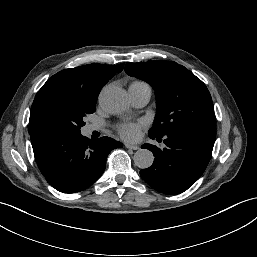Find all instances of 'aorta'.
Instances as JSON below:
<instances>
[{"label":"aorta","instance_id":"1","mask_svg":"<svg viewBox=\"0 0 257 257\" xmlns=\"http://www.w3.org/2000/svg\"><path fill=\"white\" fill-rule=\"evenodd\" d=\"M99 99L102 108L112 114L121 113L129 106L126 91L116 86H106L103 88ZM153 161L154 155L147 149H139L134 154V162L139 168H149Z\"/></svg>","mask_w":257,"mask_h":257}]
</instances>
